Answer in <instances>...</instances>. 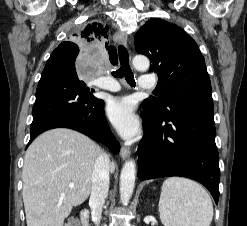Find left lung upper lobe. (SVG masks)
<instances>
[{"instance_id": "1", "label": "left lung upper lobe", "mask_w": 247, "mask_h": 226, "mask_svg": "<svg viewBox=\"0 0 247 226\" xmlns=\"http://www.w3.org/2000/svg\"><path fill=\"white\" fill-rule=\"evenodd\" d=\"M134 42L137 52L150 59V70L159 78L158 98L144 100V110L161 115L176 96L211 92L204 57L196 42L177 25L152 19L140 28Z\"/></svg>"}]
</instances>
